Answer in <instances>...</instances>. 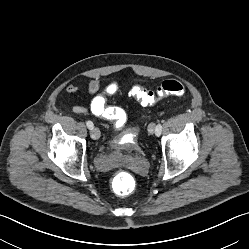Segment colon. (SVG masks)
Listing matches in <instances>:
<instances>
[{"label":"colon","mask_w":249,"mask_h":249,"mask_svg":"<svg viewBox=\"0 0 249 249\" xmlns=\"http://www.w3.org/2000/svg\"><path fill=\"white\" fill-rule=\"evenodd\" d=\"M185 93V86L178 80H164L155 90H148L138 84L133 85L130 94L142 105L150 106L161 98L167 96H182ZM125 121L118 122L117 126L123 125ZM113 190L120 196H126L133 191L132 178L127 172H119L113 180Z\"/></svg>","instance_id":"obj_1"}]
</instances>
